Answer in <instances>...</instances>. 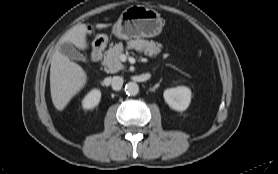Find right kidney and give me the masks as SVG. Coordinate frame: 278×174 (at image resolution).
Instances as JSON below:
<instances>
[{"mask_svg": "<svg viewBox=\"0 0 278 174\" xmlns=\"http://www.w3.org/2000/svg\"><path fill=\"white\" fill-rule=\"evenodd\" d=\"M101 99V92L98 89L91 90L82 100L84 109H93L96 107Z\"/></svg>", "mask_w": 278, "mask_h": 174, "instance_id": "obj_1", "label": "right kidney"}]
</instances>
